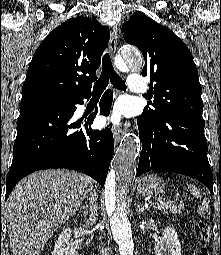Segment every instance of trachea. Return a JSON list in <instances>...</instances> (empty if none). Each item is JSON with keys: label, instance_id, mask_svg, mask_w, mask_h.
I'll list each match as a JSON object with an SVG mask.
<instances>
[{"label": "trachea", "instance_id": "trachea-1", "mask_svg": "<svg viewBox=\"0 0 221 255\" xmlns=\"http://www.w3.org/2000/svg\"><path fill=\"white\" fill-rule=\"evenodd\" d=\"M109 80L115 88H117L119 90H126L125 82L115 72V70L112 66V63H111L110 56L108 53H106L102 59L101 76L98 79V81L94 84L93 93L94 94L102 93L106 89Z\"/></svg>", "mask_w": 221, "mask_h": 255}]
</instances>
